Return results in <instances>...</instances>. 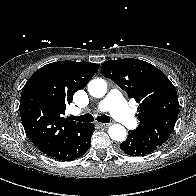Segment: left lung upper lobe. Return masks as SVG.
Listing matches in <instances>:
<instances>
[{"instance_id": "1", "label": "left lung upper lobe", "mask_w": 196, "mask_h": 196, "mask_svg": "<svg viewBox=\"0 0 196 196\" xmlns=\"http://www.w3.org/2000/svg\"><path fill=\"white\" fill-rule=\"evenodd\" d=\"M101 73L139 103L136 116L140 124L133 132L161 146L172 133L179 113L178 96L170 80L152 64L133 58L106 61Z\"/></svg>"}]
</instances>
